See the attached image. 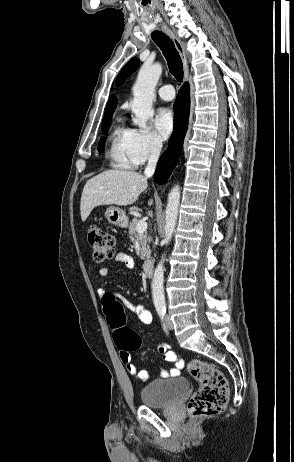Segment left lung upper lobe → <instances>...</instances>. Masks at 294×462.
Instances as JSON below:
<instances>
[{"label":"left lung upper lobe","instance_id":"obj_1","mask_svg":"<svg viewBox=\"0 0 294 462\" xmlns=\"http://www.w3.org/2000/svg\"><path fill=\"white\" fill-rule=\"evenodd\" d=\"M139 66V60L137 58L131 59L122 69L119 74L116 84L120 85L131 73H133Z\"/></svg>","mask_w":294,"mask_h":462}]
</instances>
